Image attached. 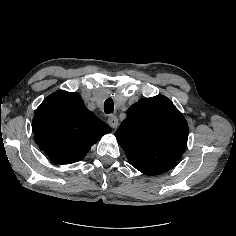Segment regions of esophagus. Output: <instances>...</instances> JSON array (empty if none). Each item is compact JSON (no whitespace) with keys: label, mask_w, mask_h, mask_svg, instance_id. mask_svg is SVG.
<instances>
[{"label":"esophagus","mask_w":236,"mask_h":236,"mask_svg":"<svg viewBox=\"0 0 236 236\" xmlns=\"http://www.w3.org/2000/svg\"><path fill=\"white\" fill-rule=\"evenodd\" d=\"M108 124L112 127V128H117L119 121L118 118L115 115H111L108 117Z\"/></svg>","instance_id":"obj_1"}]
</instances>
